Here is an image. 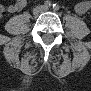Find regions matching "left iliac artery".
<instances>
[{"mask_svg": "<svg viewBox=\"0 0 91 91\" xmlns=\"http://www.w3.org/2000/svg\"><path fill=\"white\" fill-rule=\"evenodd\" d=\"M59 5L58 4H53V9L55 10V11H57V10H59Z\"/></svg>", "mask_w": 91, "mask_h": 91, "instance_id": "left-iliac-artery-1", "label": "left iliac artery"}]
</instances>
